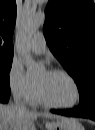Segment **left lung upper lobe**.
<instances>
[{
  "label": "left lung upper lobe",
  "instance_id": "1",
  "mask_svg": "<svg viewBox=\"0 0 95 130\" xmlns=\"http://www.w3.org/2000/svg\"><path fill=\"white\" fill-rule=\"evenodd\" d=\"M46 42L75 80L80 97L95 87V5L91 0H49Z\"/></svg>",
  "mask_w": 95,
  "mask_h": 130
}]
</instances>
